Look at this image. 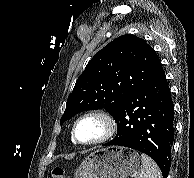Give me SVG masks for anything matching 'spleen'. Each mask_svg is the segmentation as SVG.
I'll use <instances>...</instances> for the list:
<instances>
[{"label": "spleen", "instance_id": "1", "mask_svg": "<svg viewBox=\"0 0 194 178\" xmlns=\"http://www.w3.org/2000/svg\"><path fill=\"white\" fill-rule=\"evenodd\" d=\"M142 165L135 178H162L158 165L147 155H141Z\"/></svg>", "mask_w": 194, "mask_h": 178}]
</instances>
